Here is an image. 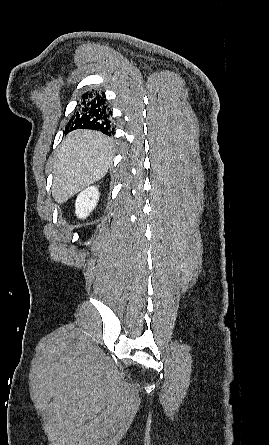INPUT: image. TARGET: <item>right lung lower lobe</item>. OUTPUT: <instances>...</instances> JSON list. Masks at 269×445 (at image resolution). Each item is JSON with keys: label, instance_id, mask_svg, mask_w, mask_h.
Instances as JSON below:
<instances>
[{"label": "right lung lower lobe", "instance_id": "1", "mask_svg": "<svg viewBox=\"0 0 269 445\" xmlns=\"http://www.w3.org/2000/svg\"><path fill=\"white\" fill-rule=\"evenodd\" d=\"M108 105L105 96L97 91L87 92L82 95L81 102L72 119L66 126L65 133L76 129L98 130L106 135L115 133L112 127Z\"/></svg>", "mask_w": 269, "mask_h": 445}]
</instances>
